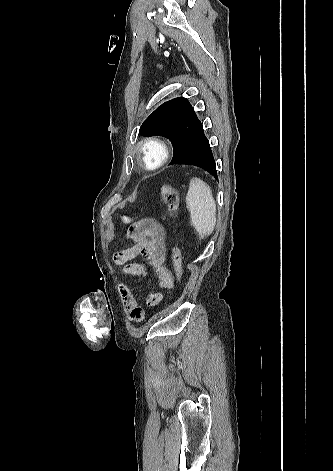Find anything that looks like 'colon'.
<instances>
[{
	"label": "colon",
	"mask_w": 333,
	"mask_h": 471,
	"mask_svg": "<svg viewBox=\"0 0 333 471\" xmlns=\"http://www.w3.org/2000/svg\"><path fill=\"white\" fill-rule=\"evenodd\" d=\"M160 194L169 214L172 217H177L179 211V195L177 190L171 185L164 184L160 188ZM182 259V249L180 245L176 243L172 252V260L177 284H180L182 280Z\"/></svg>",
	"instance_id": "1"
}]
</instances>
